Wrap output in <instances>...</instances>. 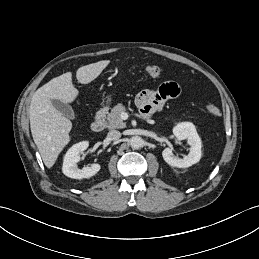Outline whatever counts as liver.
Masks as SVG:
<instances>
[{"instance_id": "obj_1", "label": "liver", "mask_w": 259, "mask_h": 259, "mask_svg": "<svg viewBox=\"0 0 259 259\" xmlns=\"http://www.w3.org/2000/svg\"><path fill=\"white\" fill-rule=\"evenodd\" d=\"M109 63V60H102L80 67L76 72L78 82H92ZM78 95L79 91L72 83V73L67 72L37 89L32 97L29 108L31 133L47 168L54 165L60 152L69 143L72 129L71 121L53 106L52 100L71 103Z\"/></svg>"}]
</instances>
